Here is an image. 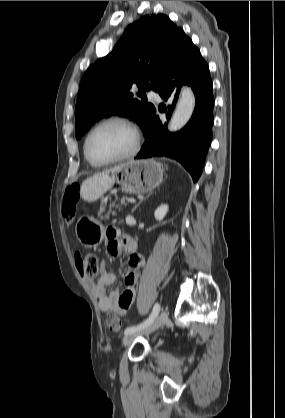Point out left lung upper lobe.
I'll return each mask as SVG.
<instances>
[{"instance_id":"5c2ea615","label":"left lung upper lobe","mask_w":285,"mask_h":418,"mask_svg":"<svg viewBox=\"0 0 285 418\" xmlns=\"http://www.w3.org/2000/svg\"><path fill=\"white\" fill-rule=\"evenodd\" d=\"M183 29L166 15H146L130 24L112 52L85 72L75 108L76 138L102 117L120 115L133 119L146 135L155 107L134 98L132 88L158 91L161 78L173 59Z\"/></svg>"}]
</instances>
